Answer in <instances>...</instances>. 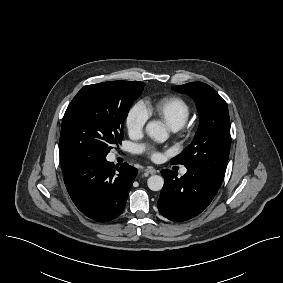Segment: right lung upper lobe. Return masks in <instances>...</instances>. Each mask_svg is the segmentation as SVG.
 <instances>
[{"mask_svg": "<svg viewBox=\"0 0 283 283\" xmlns=\"http://www.w3.org/2000/svg\"><path fill=\"white\" fill-rule=\"evenodd\" d=\"M60 158L63 173L70 169L71 166L75 163V160L65 159L62 156H60Z\"/></svg>", "mask_w": 283, "mask_h": 283, "instance_id": "cb5924a9", "label": "right lung upper lobe"}]
</instances>
